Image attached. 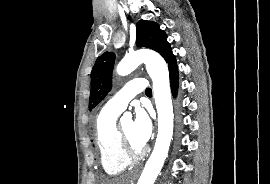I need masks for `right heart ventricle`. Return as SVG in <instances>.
I'll return each instance as SVG.
<instances>
[{"mask_svg": "<svg viewBox=\"0 0 270 184\" xmlns=\"http://www.w3.org/2000/svg\"><path fill=\"white\" fill-rule=\"evenodd\" d=\"M120 112L103 107L96 118L95 136L100 162L108 175L123 172L131 161L126 160L120 149L116 119Z\"/></svg>", "mask_w": 270, "mask_h": 184, "instance_id": "1", "label": "right heart ventricle"}]
</instances>
